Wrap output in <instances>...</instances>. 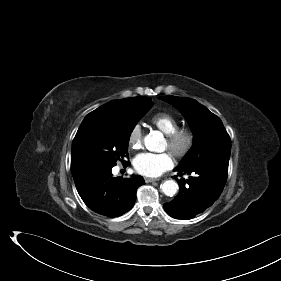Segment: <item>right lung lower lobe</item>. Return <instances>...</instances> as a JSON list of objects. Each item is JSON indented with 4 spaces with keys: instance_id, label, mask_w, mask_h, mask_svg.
<instances>
[{
    "instance_id": "obj_1",
    "label": "right lung lower lobe",
    "mask_w": 281,
    "mask_h": 281,
    "mask_svg": "<svg viewBox=\"0 0 281 281\" xmlns=\"http://www.w3.org/2000/svg\"><path fill=\"white\" fill-rule=\"evenodd\" d=\"M130 165L129 162H125ZM113 166L100 165L73 174L77 191L84 203L94 212L108 217L129 211L136 200V190L145 184L143 177H113Z\"/></svg>"
}]
</instances>
